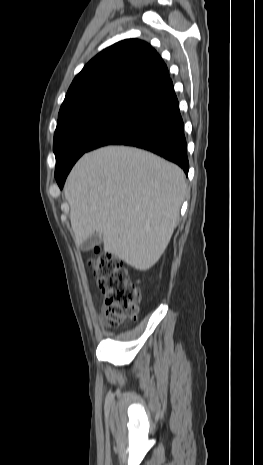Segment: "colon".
I'll use <instances>...</instances> for the list:
<instances>
[{
	"instance_id": "1",
	"label": "colon",
	"mask_w": 263,
	"mask_h": 465,
	"mask_svg": "<svg viewBox=\"0 0 263 465\" xmlns=\"http://www.w3.org/2000/svg\"><path fill=\"white\" fill-rule=\"evenodd\" d=\"M96 254L91 265L98 286L105 296L107 325L114 327L125 319H134L140 301L136 285L130 280L120 260L98 250Z\"/></svg>"
}]
</instances>
